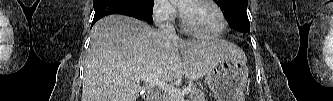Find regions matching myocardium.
Returning <instances> with one entry per match:
<instances>
[{"mask_svg":"<svg viewBox=\"0 0 333 101\" xmlns=\"http://www.w3.org/2000/svg\"><path fill=\"white\" fill-rule=\"evenodd\" d=\"M184 2H188V3H207L210 6H212L216 12L218 13L219 17H220V21H221V26L220 29L215 32V33H211V34H205V33H201L198 32L196 30H194L188 22V19L186 17L185 14V10H184ZM180 15H181V25L182 28L184 29L185 32H187L188 34L195 36V37H199V38H207V39H212V38H218L220 37L226 30L227 27V22H226V17L224 15V12L222 11V9L212 0H192V1H183L181 2L180 5Z\"/></svg>","mask_w":333,"mask_h":101,"instance_id":"obj_1","label":"myocardium"}]
</instances>
